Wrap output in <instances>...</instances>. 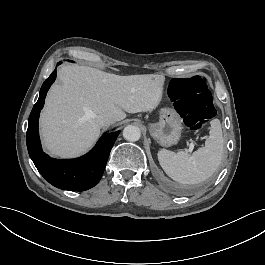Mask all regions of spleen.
I'll use <instances>...</instances> for the list:
<instances>
[{"instance_id": "3e777b00", "label": "spleen", "mask_w": 265, "mask_h": 265, "mask_svg": "<svg viewBox=\"0 0 265 265\" xmlns=\"http://www.w3.org/2000/svg\"><path fill=\"white\" fill-rule=\"evenodd\" d=\"M223 134L219 119L210 122L205 144L192 154L186 150H159L157 157L166 174L183 184H195L209 178L221 163Z\"/></svg>"}]
</instances>
